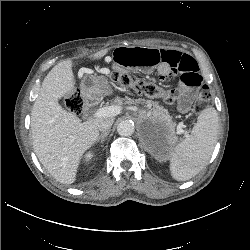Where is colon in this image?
Here are the masks:
<instances>
[{"label": "colon", "instance_id": "1", "mask_svg": "<svg viewBox=\"0 0 250 250\" xmlns=\"http://www.w3.org/2000/svg\"><path fill=\"white\" fill-rule=\"evenodd\" d=\"M112 80L124 88H132L139 94H144L149 97L162 99L167 104H174L181 98V92L177 88H164L154 82L136 80L130 75L113 72ZM65 106L74 114H79L83 111L84 102L79 91H72L65 97ZM212 101V95L208 87L203 86L200 90L197 99L193 105L195 113L204 111Z\"/></svg>", "mask_w": 250, "mask_h": 250}]
</instances>
